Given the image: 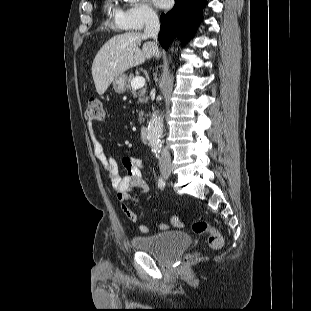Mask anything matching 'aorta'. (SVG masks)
<instances>
[{
    "instance_id": "1",
    "label": "aorta",
    "mask_w": 311,
    "mask_h": 311,
    "mask_svg": "<svg viewBox=\"0 0 311 311\" xmlns=\"http://www.w3.org/2000/svg\"><path fill=\"white\" fill-rule=\"evenodd\" d=\"M126 2L135 3L139 0H125ZM163 133V123L161 120V116L159 114V111L153 112L148 128H147V140L148 143L154 153H158L160 151L162 142H161V136Z\"/></svg>"
}]
</instances>
